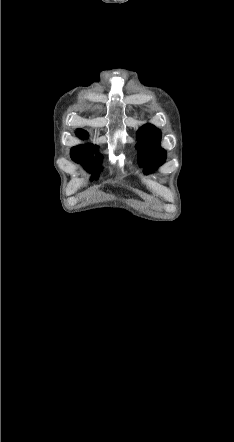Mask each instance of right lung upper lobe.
I'll return each mask as SVG.
<instances>
[{
  "mask_svg": "<svg viewBox=\"0 0 234 442\" xmlns=\"http://www.w3.org/2000/svg\"><path fill=\"white\" fill-rule=\"evenodd\" d=\"M77 135L79 137L83 138L84 136L87 135V133L85 131L79 129V130H77ZM85 147H87V148H96V146H93V145H85Z\"/></svg>",
  "mask_w": 234,
  "mask_h": 442,
  "instance_id": "cb5924a9",
  "label": "right lung upper lobe"
}]
</instances>
